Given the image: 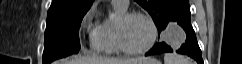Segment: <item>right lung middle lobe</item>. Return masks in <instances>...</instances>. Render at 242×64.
<instances>
[{
    "mask_svg": "<svg viewBox=\"0 0 242 64\" xmlns=\"http://www.w3.org/2000/svg\"><path fill=\"white\" fill-rule=\"evenodd\" d=\"M85 14L47 18L43 64L78 53L79 28Z\"/></svg>",
    "mask_w": 242,
    "mask_h": 64,
    "instance_id": "1",
    "label": "right lung middle lobe"
}]
</instances>
